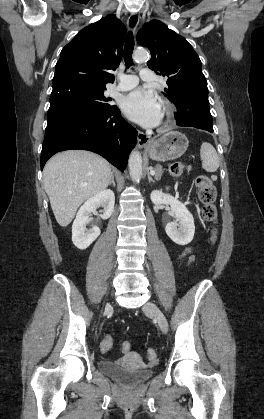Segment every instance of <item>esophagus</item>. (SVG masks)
<instances>
[{
  "mask_svg": "<svg viewBox=\"0 0 264 419\" xmlns=\"http://www.w3.org/2000/svg\"><path fill=\"white\" fill-rule=\"evenodd\" d=\"M139 20H140V16H139V13H137V12L132 13L129 16V18L127 20V27L131 32H133V33L135 32V30H136V28L139 24ZM137 141H138V147L143 148L148 143L149 137L146 134H144L143 132L139 131L138 136H137Z\"/></svg>",
  "mask_w": 264,
  "mask_h": 419,
  "instance_id": "esophagus-1",
  "label": "esophagus"
}]
</instances>
